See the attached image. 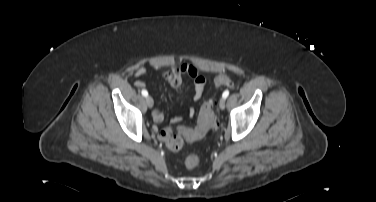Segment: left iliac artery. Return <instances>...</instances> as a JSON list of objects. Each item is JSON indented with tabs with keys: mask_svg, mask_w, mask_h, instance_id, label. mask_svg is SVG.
<instances>
[{
	"mask_svg": "<svg viewBox=\"0 0 376 202\" xmlns=\"http://www.w3.org/2000/svg\"><path fill=\"white\" fill-rule=\"evenodd\" d=\"M228 96H229V91H228V90H225V91L223 92V94H222V97L226 99Z\"/></svg>",
	"mask_w": 376,
	"mask_h": 202,
	"instance_id": "1",
	"label": "left iliac artery"
}]
</instances>
